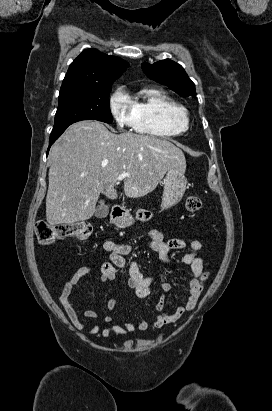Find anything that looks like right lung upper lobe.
<instances>
[{
  "label": "right lung upper lobe",
  "instance_id": "obj_1",
  "mask_svg": "<svg viewBox=\"0 0 272 411\" xmlns=\"http://www.w3.org/2000/svg\"><path fill=\"white\" fill-rule=\"evenodd\" d=\"M129 67L121 58L96 49L84 50L69 66L60 92L92 89L113 83Z\"/></svg>",
  "mask_w": 272,
  "mask_h": 411
}]
</instances>
